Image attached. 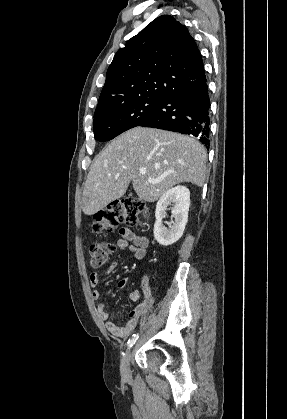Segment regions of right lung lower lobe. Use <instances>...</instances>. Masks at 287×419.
<instances>
[{"label": "right lung lower lobe", "instance_id": "obj_1", "mask_svg": "<svg viewBox=\"0 0 287 419\" xmlns=\"http://www.w3.org/2000/svg\"><path fill=\"white\" fill-rule=\"evenodd\" d=\"M139 126L192 135L209 149L210 98L207 79L169 93L158 109Z\"/></svg>", "mask_w": 287, "mask_h": 419}]
</instances>
